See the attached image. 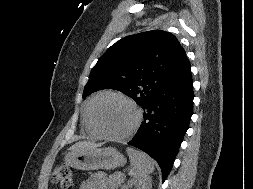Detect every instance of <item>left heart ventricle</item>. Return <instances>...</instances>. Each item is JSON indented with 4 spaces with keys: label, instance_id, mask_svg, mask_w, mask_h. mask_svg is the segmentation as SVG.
Masks as SVG:
<instances>
[{
    "label": "left heart ventricle",
    "instance_id": "left-heart-ventricle-1",
    "mask_svg": "<svg viewBox=\"0 0 253 189\" xmlns=\"http://www.w3.org/2000/svg\"><path fill=\"white\" fill-rule=\"evenodd\" d=\"M95 117L104 131L112 135H122L132 127L135 112L123 100L116 97H105L97 103Z\"/></svg>",
    "mask_w": 253,
    "mask_h": 189
}]
</instances>
